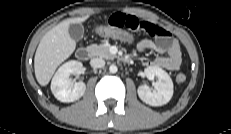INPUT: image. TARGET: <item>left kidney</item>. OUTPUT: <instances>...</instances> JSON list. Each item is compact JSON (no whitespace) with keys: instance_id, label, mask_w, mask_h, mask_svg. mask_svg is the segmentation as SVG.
<instances>
[{"instance_id":"1","label":"left kidney","mask_w":231,"mask_h":134,"mask_svg":"<svg viewBox=\"0 0 231 134\" xmlns=\"http://www.w3.org/2000/svg\"><path fill=\"white\" fill-rule=\"evenodd\" d=\"M144 73L148 79L157 78V81L153 84V89L147 85L139 86V98L151 106L167 104L173 96V82L168 73L158 66H149Z\"/></svg>"}]
</instances>
